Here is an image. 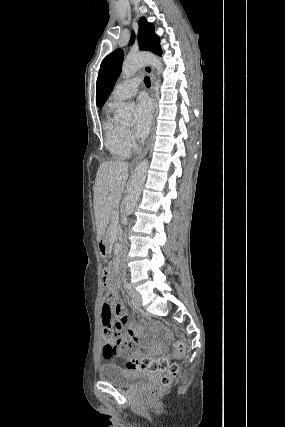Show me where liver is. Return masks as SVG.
Returning <instances> with one entry per match:
<instances>
[{"label":"liver","mask_w":285,"mask_h":427,"mask_svg":"<svg viewBox=\"0 0 285 427\" xmlns=\"http://www.w3.org/2000/svg\"><path fill=\"white\" fill-rule=\"evenodd\" d=\"M128 169L129 164L124 161L104 162L98 168L93 202L99 237L104 234L112 212L119 206Z\"/></svg>","instance_id":"liver-1"}]
</instances>
